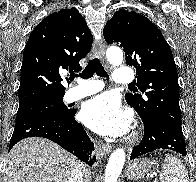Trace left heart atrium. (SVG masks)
<instances>
[{"mask_svg":"<svg viewBox=\"0 0 196 182\" xmlns=\"http://www.w3.org/2000/svg\"><path fill=\"white\" fill-rule=\"evenodd\" d=\"M80 118L82 122L95 132L119 136L127 132L131 123V116L120 107L118 98L105 93L84 103Z\"/></svg>","mask_w":196,"mask_h":182,"instance_id":"39dd6f15","label":"left heart atrium"}]
</instances>
